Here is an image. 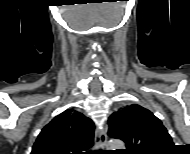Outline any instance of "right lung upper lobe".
I'll return each instance as SVG.
<instances>
[{"label":"right lung upper lobe","mask_w":190,"mask_h":154,"mask_svg":"<svg viewBox=\"0 0 190 154\" xmlns=\"http://www.w3.org/2000/svg\"><path fill=\"white\" fill-rule=\"evenodd\" d=\"M94 129L91 119L67 109L42 129L31 154H83L92 145Z\"/></svg>","instance_id":"right-lung-upper-lobe-1"}]
</instances>
